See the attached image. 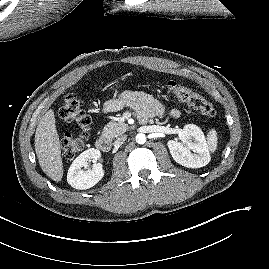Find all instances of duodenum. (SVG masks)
Returning <instances> with one entry per match:
<instances>
[{
  "label": "duodenum",
  "instance_id": "1",
  "mask_svg": "<svg viewBox=\"0 0 269 269\" xmlns=\"http://www.w3.org/2000/svg\"><path fill=\"white\" fill-rule=\"evenodd\" d=\"M96 148L101 152H109L111 149V142L107 137L101 136L95 142Z\"/></svg>",
  "mask_w": 269,
  "mask_h": 269
}]
</instances>
